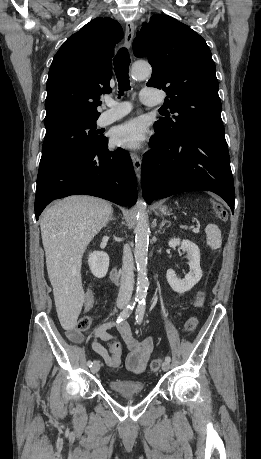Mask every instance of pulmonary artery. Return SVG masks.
Masks as SVG:
<instances>
[{"mask_svg":"<svg viewBox=\"0 0 261 459\" xmlns=\"http://www.w3.org/2000/svg\"><path fill=\"white\" fill-rule=\"evenodd\" d=\"M140 99L142 103L146 105H157L160 103L157 93L150 88L141 90ZM105 105L108 109L104 111L98 119V124L100 126H106L121 119L131 110V105L128 102H118L113 99L105 100Z\"/></svg>","mask_w":261,"mask_h":459,"instance_id":"e3ab8cb5","label":"pulmonary artery"}]
</instances>
